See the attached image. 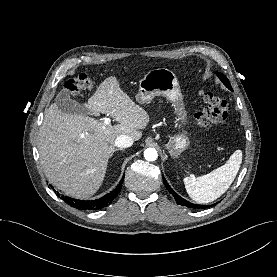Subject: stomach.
Wrapping results in <instances>:
<instances>
[{
    "mask_svg": "<svg viewBox=\"0 0 277 277\" xmlns=\"http://www.w3.org/2000/svg\"><path fill=\"white\" fill-rule=\"evenodd\" d=\"M164 96L175 106L177 120L182 125L188 124V113L183 105V96L176 75L169 69L150 70L139 82V92L135 96L141 103H149L155 96ZM189 138L185 134L176 135L165 145L173 157H178L189 146Z\"/></svg>",
    "mask_w": 277,
    "mask_h": 277,
    "instance_id": "stomach-1",
    "label": "stomach"
}]
</instances>
